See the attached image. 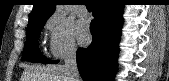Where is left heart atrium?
<instances>
[{
	"label": "left heart atrium",
	"mask_w": 169,
	"mask_h": 81,
	"mask_svg": "<svg viewBox=\"0 0 169 81\" xmlns=\"http://www.w3.org/2000/svg\"><path fill=\"white\" fill-rule=\"evenodd\" d=\"M76 37L80 43L88 42L90 38L88 23L86 21H79L75 27Z\"/></svg>",
	"instance_id": "obj_1"
}]
</instances>
